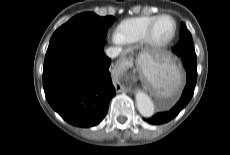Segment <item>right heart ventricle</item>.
<instances>
[{"label": "right heart ventricle", "instance_id": "e07e8e85", "mask_svg": "<svg viewBox=\"0 0 230 155\" xmlns=\"http://www.w3.org/2000/svg\"><path fill=\"white\" fill-rule=\"evenodd\" d=\"M157 16L143 15L123 20L115 29L120 43L132 44L143 40L148 26Z\"/></svg>", "mask_w": 230, "mask_h": 155}]
</instances>
